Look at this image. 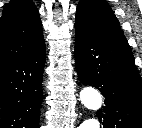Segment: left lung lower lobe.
I'll return each mask as SVG.
<instances>
[{
  "mask_svg": "<svg viewBox=\"0 0 142 128\" xmlns=\"http://www.w3.org/2000/svg\"><path fill=\"white\" fill-rule=\"evenodd\" d=\"M75 59L82 83L105 97L97 112L103 128H142V81L130 47L75 25Z\"/></svg>",
  "mask_w": 142,
  "mask_h": 128,
  "instance_id": "0a47b994",
  "label": "left lung lower lobe"
}]
</instances>
